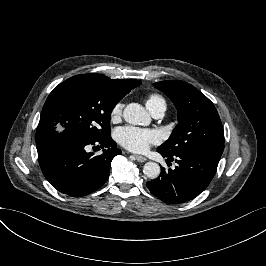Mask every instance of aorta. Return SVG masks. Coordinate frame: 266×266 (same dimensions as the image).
I'll list each match as a JSON object with an SVG mask.
<instances>
[{
	"label": "aorta",
	"mask_w": 266,
	"mask_h": 266,
	"mask_svg": "<svg viewBox=\"0 0 266 266\" xmlns=\"http://www.w3.org/2000/svg\"><path fill=\"white\" fill-rule=\"evenodd\" d=\"M123 117L132 125H149L151 121L149 113L138 103L128 104L123 111ZM160 171V166L156 162H147L143 167V173L149 179H156Z\"/></svg>",
	"instance_id": "762f6f07"
}]
</instances>
